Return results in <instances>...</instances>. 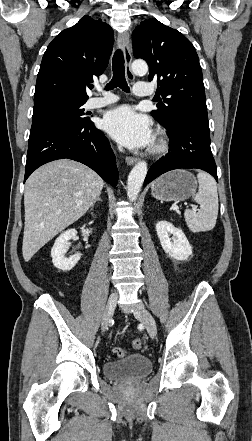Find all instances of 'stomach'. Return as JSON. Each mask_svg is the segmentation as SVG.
<instances>
[{
	"mask_svg": "<svg viewBox=\"0 0 252 441\" xmlns=\"http://www.w3.org/2000/svg\"><path fill=\"white\" fill-rule=\"evenodd\" d=\"M197 189L196 178L185 170H174L156 179L151 186L152 196L163 201L190 198Z\"/></svg>",
	"mask_w": 252,
	"mask_h": 441,
	"instance_id": "1",
	"label": "stomach"
}]
</instances>
